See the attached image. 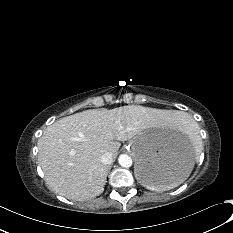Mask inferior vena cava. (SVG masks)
<instances>
[{
	"label": "inferior vena cava",
	"mask_w": 233,
	"mask_h": 233,
	"mask_svg": "<svg viewBox=\"0 0 233 233\" xmlns=\"http://www.w3.org/2000/svg\"><path fill=\"white\" fill-rule=\"evenodd\" d=\"M101 162L105 165H111L113 163L112 153L107 152L101 156Z\"/></svg>",
	"instance_id": "inferior-vena-cava-1"
}]
</instances>
